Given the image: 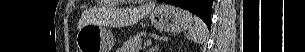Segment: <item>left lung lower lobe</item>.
<instances>
[{"label":"left lung lower lobe","mask_w":305,"mask_h":52,"mask_svg":"<svg viewBox=\"0 0 305 52\" xmlns=\"http://www.w3.org/2000/svg\"><path fill=\"white\" fill-rule=\"evenodd\" d=\"M178 7H182L200 17L210 28L211 9L213 0H158Z\"/></svg>","instance_id":"1"}]
</instances>
